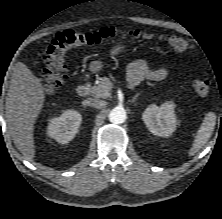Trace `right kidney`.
<instances>
[{
  "label": "right kidney",
  "mask_w": 222,
  "mask_h": 219,
  "mask_svg": "<svg viewBox=\"0 0 222 219\" xmlns=\"http://www.w3.org/2000/svg\"><path fill=\"white\" fill-rule=\"evenodd\" d=\"M81 121L82 116L78 111L73 109L66 110L49 121L47 135L58 143H68L78 132Z\"/></svg>",
  "instance_id": "1"
}]
</instances>
